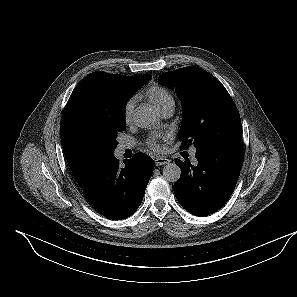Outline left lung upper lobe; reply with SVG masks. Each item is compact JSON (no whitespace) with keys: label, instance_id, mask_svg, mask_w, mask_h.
<instances>
[{"label":"left lung upper lobe","instance_id":"5c2ea615","mask_svg":"<svg viewBox=\"0 0 297 297\" xmlns=\"http://www.w3.org/2000/svg\"><path fill=\"white\" fill-rule=\"evenodd\" d=\"M158 82L175 89L182 102L181 149L194 145L196 152H200L241 136L235 103L225 87L207 71L184 67L163 73Z\"/></svg>","mask_w":297,"mask_h":297}]
</instances>
